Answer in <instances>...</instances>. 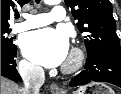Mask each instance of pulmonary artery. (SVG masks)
<instances>
[{
    "instance_id": "pulmonary-artery-1",
    "label": "pulmonary artery",
    "mask_w": 121,
    "mask_h": 94,
    "mask_svg": "<svg viewBox=\"0 0 121 94\" xmlns=\"http://www.w3.org/2000/svg\"><path fill=\"white\" fill-rule=\"evenodd\" d=\"M66 17V11L63 6H54L50 13L23 14V21L12 27L13 33L23 32L29 29L48 25L55 21H62Z\"/></svg>"
}]
</instances>
